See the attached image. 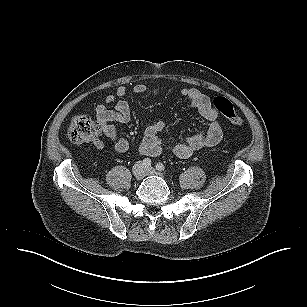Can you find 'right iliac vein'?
Masks as SVG:
<instances>
[{
  "label": "right iliac vein",
  "instance_id": "63e3f726",
  "mask_svg": "<svg viewBox=\"0 0 307 307\" xmlns=\"http://www.w3.org/2000/svg\"><path fill=\"white\" fill-rule=\"evenodd\" d=\"M133 175L137 180L143 179L145 175V167L142 162H137L133 167Z\"/></svg>",
  "mask_w": 307,
  "mask_h": 307
}]
</instances>
